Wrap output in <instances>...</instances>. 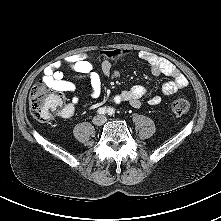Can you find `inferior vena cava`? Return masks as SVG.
Returning <instances> with one entry per match:
<instances>
[{"label":"inferior vena cava","mask_w":221,"mask_h":221,"mask_svg":"<svg viewBox=\"0 0 221 221\" xmlns=\"http://www.w3.org/2000/svg\"><path fill=\"white\" fill-rule=\"evenodd\" d=\"M107 121V118L104 115H98L97 118L94 119L96 124H103Z\"/></svg>","instance_id":"602c4592"}]
</instances>
